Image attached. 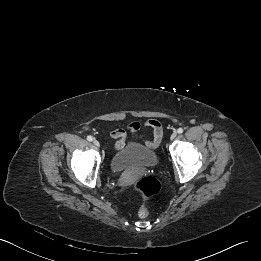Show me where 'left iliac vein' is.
<instances>
[{
	"instance_id": "4c4485c4",
	"label": "left iliac vein",
	"mask_w": 261,
	"mask_h": 261,
	"mask_svg": "<svg viewBox=\"0 0 261 261\" xmlns=\"http://www.w3.org/2000/svg\"><path fill=\"white\" fill-rule=\"evenodd\" d=\"M177 136V133L176 132H173L170 136L171 140H174Z\"/></svg>"
}]
</instances>
